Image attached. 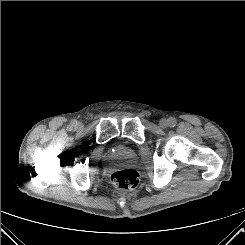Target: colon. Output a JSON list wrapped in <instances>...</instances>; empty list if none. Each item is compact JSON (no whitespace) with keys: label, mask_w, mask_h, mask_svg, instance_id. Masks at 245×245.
<instances>
[{"label":"colon","mask_w":245,"mask_h":245,"mask_svg":"<svg viewBox=\"0 0 245 245\" xmlns=\"http://www.w3.org/2000/svg\"><path fill=\"white\" fill-rule=\"evenodd\" d=\"M111 181L113 185L122 190L134 189L139 182L138 173L131 169H118L111 175Z\"/></svg>","instance_id":"1"}]
</instances>
